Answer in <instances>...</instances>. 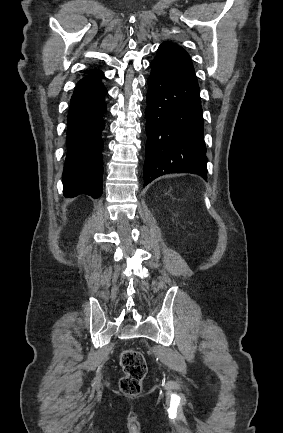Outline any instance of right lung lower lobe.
Masks as SVG:
<instances>
[{
	"label": "right lung lower lobe",
	"instance_id": "1",
	"mask_svg": "<svg viewBox=\"0 0 283 433\" xmlns=\"http://www.w3.org/2000/svg\"><path fill=\"white\" fill-rule=\"evenodd\" d=\"M102 75L79 81L71 98L68 113V153L63 172V193L66 197L102 194L103 162L101 131L106 111L107 89Z\"/></svg>",
	"mask_w": 283,
	"mask_h": 433
}]
</instances>
